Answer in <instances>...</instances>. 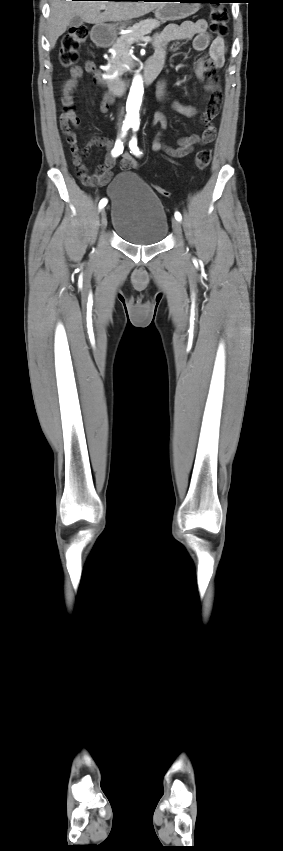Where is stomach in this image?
Masks as SVG:
<instances>
[{
  "mask_svg": "<svg viewBox=\"0 0 283 851\" xmlns=\"http://www.w3.org/2000/svg\"><path fill=\"white\" fill-rule=\"evenodd\" d=\"M179 2H167L155 10V17L161 21H175L187 18L199 10L198 0H175ZM94 38L104 43H112L116 39V27L97 25L94 29Z\"/></svg>",
  "mask_w": 283,
  "mask_h": 851,
  "instance_id": "stomach-1",
  "label": "stomach"
}]
</instances>
